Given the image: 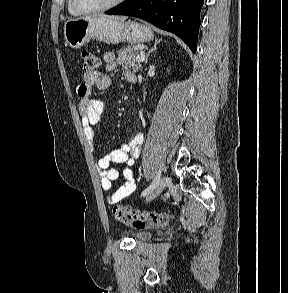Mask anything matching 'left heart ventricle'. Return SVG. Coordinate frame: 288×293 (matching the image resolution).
Masks as SVG:
<instances>
[{"label": "left heart ventricle", "instance_id": "b2bd125f", "mask_svg": "<svg viewBox=\"0 0 288 293\" xmlns=\"http://www.w3.org/2000/svg\"><path fill=\"white\" fill-rule=\"evenodd\" d=\"M114 0H77L79 5L84 8H94L108 4Z\"/></svg>", "mask_w": 288, "mask_h": 293}]
</instances>
